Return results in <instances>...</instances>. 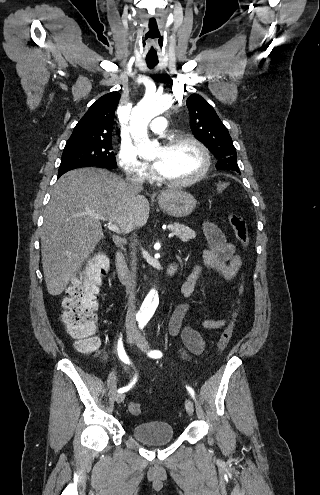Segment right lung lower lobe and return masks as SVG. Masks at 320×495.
<instances>
[{
    "label": "right lung lower lobe",
    "instance_id": "98d812e1",
    "mask_svg": "<svg viewBox=\"0 0 320 495\" xmlns=\"http://www.w3.org/2000/svg\"><path fill=\"white\" fill-rule=\"evenodd\" d=\"M102 168H104V167H102ZM60 176H61V175H58V178H59Z\"/></svg>",
    "mask_w": 320,
    "mask_h": 495
}]
</instances>
